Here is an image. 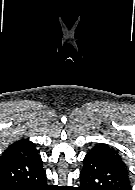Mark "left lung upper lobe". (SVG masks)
Segmentation results:
<instances>
[{
	"label": "left lung upper lobe",
	"instance_id": "obj_1",
	"mask_svg": "<svg viewBox=\"0 0 135 190\" xmlns=\"http://www.w3.org/2000/svg\"><path fill=\"white\" fill-rule=\"evenodd\" d=\"M89 153L101 156V157L111 161L116 166L120 167L123 171L128 173L126 164L122 160L119 153L116 150H114L113 148H110L107 145H98V146H95L93 149H91L89 151Z\"/></svg>",
	"mask_w": 135,
	"mask_h": 190
}]
</instances>
